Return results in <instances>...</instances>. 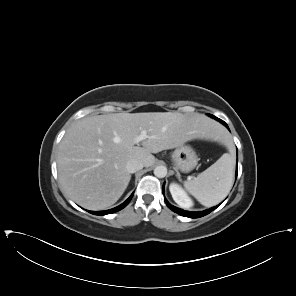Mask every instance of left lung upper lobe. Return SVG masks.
<instances>
[{
    "label": "left lung upper lobe",
    "mask_w": 296,
    "mask_h": 296,
    "mask_svg": "<svg viewBox=\"0 0 296 296\" xmlns=\"http://www.w3.org/2000/svg\"><path fill=\"white\" fill-rule=\"evenodd\" d=\"M209 116H210V117H213L214 119H217L218 121H220V119H218L217 117H215V116H213V115H211V114H209Z\"/></svg>",
    "instance_id": "left-lung-upper-lobe-1"
}]
</instances>
